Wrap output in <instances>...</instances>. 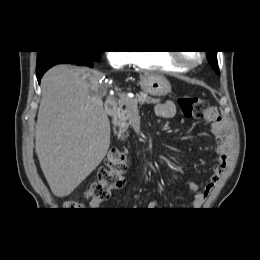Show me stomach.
Wrapping results in <instances>:
<instances>
[{
	"label": "stomach",
	"instance_id": "0dacf381",
	"mask_svg": "<svg viewBox=\"0 0 260 260\" xmlns=\"http://www.w3.org/2000/svg\"><path fill=\"white\" fill-rule=\"evenodd\" d=\"M140 87L144 93L152 96H165L171 92L170 82L162 75H142Z\"/></svg>",
	"mask_w": 260,
	"mask_h": 260
}]
</instances>
